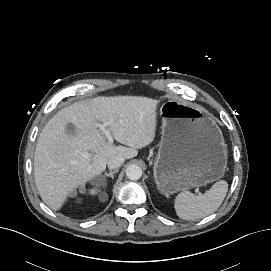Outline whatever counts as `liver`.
<instances>
[{"instance_id":"1","label":"liver","mask_w":271,"mask_h":271,"mask_svg":"<svg viewBox=\"0 0 271 271\" xmlns=\"http://www.w3.org/2000/svg\"><path fill=\"white\" fill-rule=\"evenodd\" d=\"M157 105L147 97H97L54 115L40 133L34 156V178L43 202L59 210L72 191L105 171L109 159L137 156V149L155 138ZM70 123L74 135L66 131ZM100 123L127 147L109 144ZM84 152L90 156L83 157Z\"/></svg>"}]
</instances>
